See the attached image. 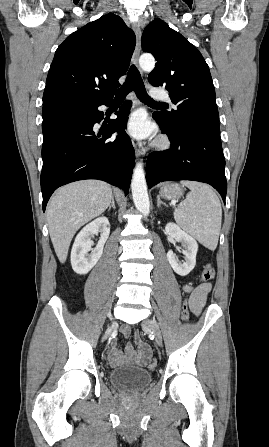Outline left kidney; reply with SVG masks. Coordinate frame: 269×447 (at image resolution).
I'll return each instance as SVG.
<instances>
[{"mask_svg":"<svg viewBox=\"0 0 269 447\" xmlns=\"http://www.w3.org/2000/svg\"><path fill=\"white\" fill-rule=\"evenodd\" d=\"M165 231L170 237H174L175 241H181L184 245L181 253H184L186 261H183V263H180L172 249H169L167 257L171 267L178 275H188L196 265V253L198 251L196 239L191 237L186 231H182L179 225L173 224V222L165 225Z\"/></svg>","mask_w":269,"mask_h":447,"instance_id":"left-kidney-1","label":"left kidney"}]
</instances>
